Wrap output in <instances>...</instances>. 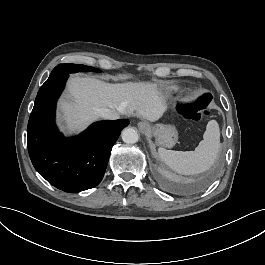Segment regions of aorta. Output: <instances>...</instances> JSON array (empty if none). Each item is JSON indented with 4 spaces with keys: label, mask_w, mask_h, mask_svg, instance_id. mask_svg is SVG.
Instances as JSON below:
<instances>
[{
    "label": "aorta",
    "mask_w": 265,
    "mask_h": 265,
    "mask_svg": "<svg viewBox=\"0 0 265 265\" xmlns=\"http://www.w3.org/2000/svg\"><path fill=\"white\" fill-rule=\"evenodd\" d=\"M121 136L122 140L125 143H130V144L136 143L139 139V135L134 128H125L122 131Z\"/></svg>",
    "instance_id": "aorta-1"
}]
</instances>
